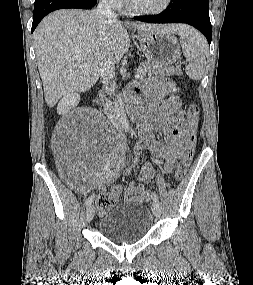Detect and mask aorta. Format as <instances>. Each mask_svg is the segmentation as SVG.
Masks as SVG:
<instances>
[{
  "label": "aorta",
  "instance_id": "762f6f07",
  "mask_svg": "<svg viewBox=\"0 0 253 285\" xmlns=\"http://www.w3.org/2000/svg\"><path fill=\"white\" fill-rule=\"evenodd\" d=\"M114 113L120 127L125 131H129L130 125L125 113L123 97L121 93L118 94L114 103Z\"/></svg>",
  "mask_w": 253,
  "mask_h": 285
}]
</instances>
